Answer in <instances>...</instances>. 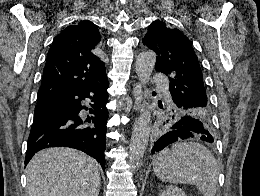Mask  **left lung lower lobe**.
<instances>
[{
	"label": "left lung lower lobe",
	"instance_id": "0a47b994",
	"mask_svg": "<svg viewBox=\"0 0 260 196\" xmlns=\"http://www.w3.org/2000/svg\"><path fill=\"white\" fill-rule=\"evenodd\" d=\"M201 135V140L213 143L214 138L203 122L195 119H181L176 122L170 131L161 136L152 148V153L161 151L163 148L180 139L193 138Z\"/></svg>",
	"mask_w": 260,
	"mask_h": 196
}]
</instances>
